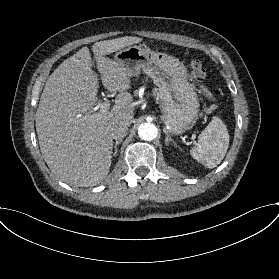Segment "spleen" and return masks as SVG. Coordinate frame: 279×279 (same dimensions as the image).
<instances>
[{
  "instance_id": "spleen-1",
  "label": "spleen",
  "mask_w": 279,
  "mask_h": 279,
  "mask_svg": "<svg viewBox=\"0 0 279 279\" xmlns=\"http://www.w3.org/2000/svg\"><path fill=\"white\" fill-rule=\"evenodd\" d=\"M205 93L212 98L208 90H205ZM228 147L229 133L227 127L219 117L214 116L198 136V143L190 150V153L194 159L205 167L214 168L221 163Z\"/></svg>"
}]
</instances>
